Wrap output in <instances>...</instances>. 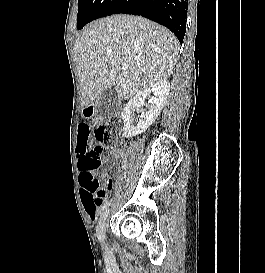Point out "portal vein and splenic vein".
Returning a JSON list of instances; mask_svg holds the SVG:
<instances>
[{"label": "portal vein and splenic vein", "mask_w": 265, "mask_h": 273, "mask_svg": "<svg viewBox=\"0 0 265 273\" xmlns=\"http://www.w3.org/2000/svg\"><path fill=\"white\" fill-rule=\"evenodd\" d=\"M127 68L126 64H122V69L125 70Z\"/></svg>", "instance_id": "portal-vein-and-splenic-vein-1"}]
</instances>
